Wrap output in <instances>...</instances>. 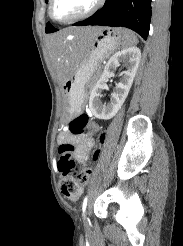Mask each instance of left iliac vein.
Wrapping results in <instances>:
<instances>
[{
    "label": "left iliac vein",
    "instance_id": "1",
    "mask_svg": "<svg viewBox=\"0 0 183 246\" xmlns=\"http://www.w3.org/2000/svg\"><path fill=\"white\" fill-rule=\"evenodd\" d=\"M84 223H85V226L88 227V217H87V212H85V215H84Z\"/></svg>",
    "mask_w": 183,
    "mask_h": 246
}]
</instances>
